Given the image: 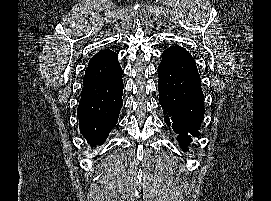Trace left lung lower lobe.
<instances>
[{
	"instance_id": "obj_1",
	"label": "left lung lower lobe",
	"mask_w": 271,
	"mask_h": 201,
	"mask_svg": "<svg viewBox=\"0 0 271 201\" xmlns=\"http://www.w3.org/2000/svg\"><path fill=\"white\" fill-rule=\"evenodd\" d=\"M159 103L165 123L178 134L177 140L186 151L204 116L201 79L191 54L180 46L167 48L158 67Z\"/></svg>"
}]
</instances>
